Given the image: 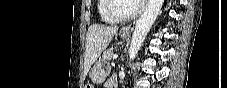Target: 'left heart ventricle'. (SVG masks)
<instances>
[{
    "label": "left heart ventricle",
    "mask_w": 227,
    "mask_h": 88,
    "mask_svg": "<svg viewBox=\"0 0 227 88\" xmlns=\"http://www.w3.org/2000/svg\"><path fill=\"white\" fill-rule=\"evenodd\" d=\"M136 3L132 0H119L115 2L114 10L120 16H126L135 10Z\"/></svg>",
    "instance_id": "b2bd125f"
}]
</instances>
